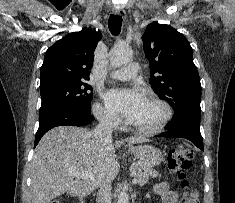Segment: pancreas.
<instances>
[{
	"label": "pancreas",
	"instance_id": "obj_1",
	"mask_svg": "<svg viewBox=\"0 0 235 203\" xmlns=\"http://www.w3.org/2000/svg\"><path fill=\"white\" fill-rule=\"evenodd\" d=\"M130 171L137 178L140 185L146 184L149 181L150 176H158V172H156L153 168L137 163L132 164Z\"/></svg>",
	"mask_w": 235,
	"mask_h": 203
}]
</instances>
